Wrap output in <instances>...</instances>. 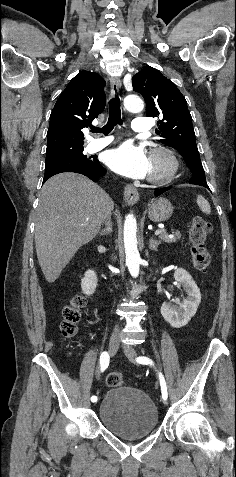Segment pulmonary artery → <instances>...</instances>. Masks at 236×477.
<instances>
[{
    "instance_id": "1",
    "label": "pulmonary artery",
    "mask_w": 236,
    "mask_h": 477,
    "mask_svg": "<svg viewBox=\"0 0 236 477\" xmlns=\"http://www.w3.org/2000/svg\"><path fill=\"white\" fill-rule=\"evenodd\" d=\"M151 128L150 122L147 118H135L132 121V130L138 133L148 132ZM112 137H105L96 139L91 143V148L93 151H98L106 146H108L112 142Z\"/></svg>"
}]
</instances>
